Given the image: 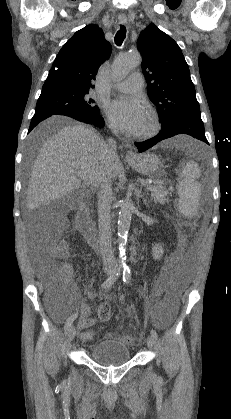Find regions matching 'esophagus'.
I'll use <instances>...</instances> for the list:
<instances>
[{"label":"esophagus","instance_id":"34e87169","mask_svg":"<svg viewBox=\"0 0 231 419\" xmlns=\"http://www.w3.org/2000/svg\"><path fill=\"white\" fill-rule=\"evenodd\" d=\"M120 22L121 23H126L127 19L126 17H120ZM136 157L135 153L132 150H128L126 152V159L129 160H133Z\"/></svg>","mask_w":231,"mask_h":419}]
</instances>
